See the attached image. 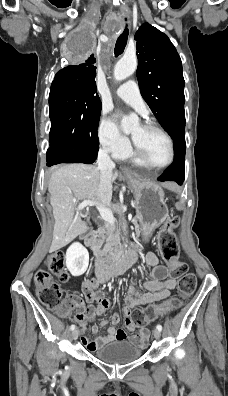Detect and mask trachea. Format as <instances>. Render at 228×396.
Listing matches in <instances>:
<instances>
[{
    "mask_svg": "<svg viewBox=\"0 0 228 396\" xmlns=\"http://www.w3.org/2000/svg\"><path fill=\"white\" fill-rule=\"evenodd\" d=\"M128 34H129V30L126 27L124 29V31L118 37V39L116 41L115 49H114V54L116 57L121 55L124 52V49L127 44Z\"/></svg>",
    "mask_w": 228,
    "mask_h": 396,
    "instance_id": "1",
    "label": "trachea"
}]
</instances>
